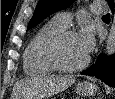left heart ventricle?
I'll list each match as a JSON object with an SVG mask.
<instances>
[{"label": "left heart ventricle", "mask_w": 115, "mask_h": 99, "mask_svg": "<svg viewBox=\"0 0 115 99\" xmlns=\"http://www.w3.org/2000/svg\"><path fill=\"white\" fill-rule=\"evenodd\" d=\"M86 56L77 35L65 39L58 48V57L67 66L80 64Z\"/></svg>", "instance_id": "left-heart-ventricle-1"}]
</instances>
